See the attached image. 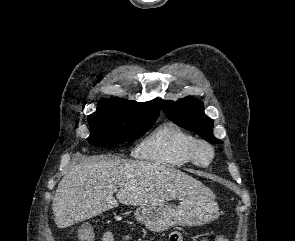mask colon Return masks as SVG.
<instances>
[{
    "label": "colon",
    "mask_w": 295,
    "mask_h": 241,
    "mask_svg": "<svg viewBox=\"0 0 295 241\" xmlns=\"http://www.w3.org/2000/svg\"><path fill=\"white\" fill-rule=\"evenodd\" d=\"M82 240L83 241L94 240V231L92 228H85L82 231ZM169 241H183V236L179 232H173L172 236L169 238ZM214 241H229V240L223 237H218Z\"/></svg>",
    "instance_id": "1"
}]
</instances>
